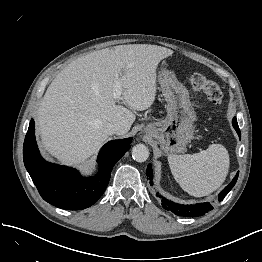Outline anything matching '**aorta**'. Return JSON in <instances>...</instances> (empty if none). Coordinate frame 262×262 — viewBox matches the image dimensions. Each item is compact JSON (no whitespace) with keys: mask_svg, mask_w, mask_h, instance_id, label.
Listing matches in <instances>:
<instances>
[{"mask_svg":"<svg viewBox=\"0 0 262 262\" xmlns=\"http://www.w3.org/2000/svg\"><path fill=\"white\" fill-rule=\"evenodd\" d=\"M149 157V150L144 144H137L132 148V158L137 162H145Z\"/></svg>","mask_w":262,"mask_h":262,"instance_id":"1","label":"aorta"}]
</instances>
